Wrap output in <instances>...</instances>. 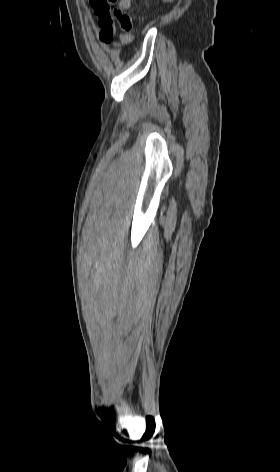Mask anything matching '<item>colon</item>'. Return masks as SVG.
Wrapping results in <instances>:
<instances>
[{"instance_id": "1", "label": "colon", "mask_w": 280, "mask_h": 472, "mask_svg": "<svg viewBox=\"0 0 280 472\" xmlns=\"http://www.w3.org/2000/svg\"><path fill=\"white\" fill-rule=\"evenodd\" d=\"M116 2L117 0H90L91 7L98 18L99 24L108 25L114 23V16L121 29L128 34L132 30V19L119 8H113Z\"/></svg>"}]
</instances>
